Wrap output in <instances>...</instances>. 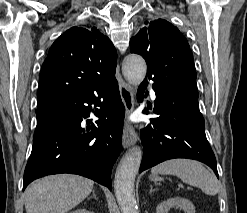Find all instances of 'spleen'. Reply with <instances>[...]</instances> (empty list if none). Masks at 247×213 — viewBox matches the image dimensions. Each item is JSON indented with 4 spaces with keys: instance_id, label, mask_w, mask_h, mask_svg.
<instances>
[{
    "instance_id": "obj_1",
    "label": "spleen",
    "mask_w": 247,
    "mask_h": 213,
    "mask_svg": "<svg viewBox=\"0 0 247 213\" xmlns=\"http://www.w3.org/2000/svg\"><path fill=\"white\" fill-rule=\"evenodd\" d=\"M152 175H176L189 185L199 187L205 194L214 196L219 192V182L201 163L188 159L165 161L151 170Z\"/></svg>"
}]
</instances>
